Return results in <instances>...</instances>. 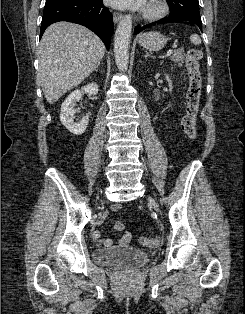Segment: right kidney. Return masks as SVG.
<instances>
[{"instance_id":"obj_1","label":"right kidney","mask_w":245,"mask_h":314,"mask_svg":"<svg viewBox=\"0 0 245 314\" xmlns=\"http://www.w3.org/2000/svg\"><path fill=\"white\" fill-rule=\"evenodd\" d=\"M98 85L90 83L84 86L81 90L73 91L62 103L60 120L62 124L74 135H81L87 129L89 123V115L84 116L80 122L74 121V114L76 113L75 104L82 98L83 93L96 95L98 93Z\"/></svg>"}]
</instances>
